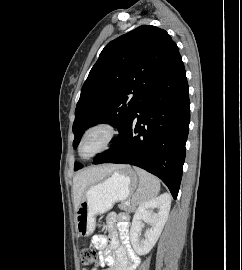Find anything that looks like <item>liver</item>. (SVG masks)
<instances>
[{
    "mask_svg": "<svg viewBox=\"0 0 242 270\" xmlns=\"http://www.w3.org/2000/svg\"><path fill=\"white\" fill-rule=\"evenodd\" d=\"M121 167H123V165L109 164L87 168L77 173L73 178V195L75 209H78L82 196L89 186L100 182L110 173Z\"/></svg>",
    "mask_w": 242,
    "mask_h": 270,
    "instance_id": "liver-1",
    "label": "liver"
}]
</instances>
